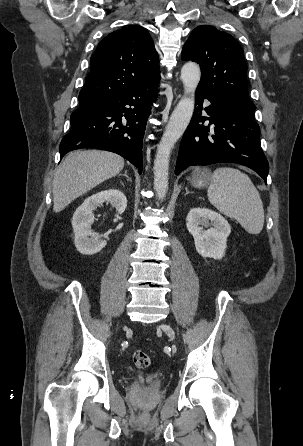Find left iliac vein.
<instances>
[{
	"instance_id": "left-iliac-vein-1",
	"label": "left iliac vein",
	"mask_w": 303,
	"mask_h": 446,
	"mask_svg": "<svg viewBox=\"0 0 303 446\" xmlns=\"http://www.w3.org/2000/svg\"><path fill=\"white\" fill-rule=\"evenodd\" d=\"M160 328L173 340L174 339V332L172 328L168 325L162 324Z\"/></svg>"
}]
</instances>
